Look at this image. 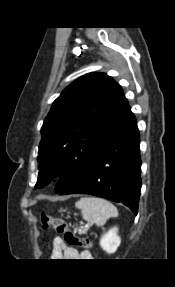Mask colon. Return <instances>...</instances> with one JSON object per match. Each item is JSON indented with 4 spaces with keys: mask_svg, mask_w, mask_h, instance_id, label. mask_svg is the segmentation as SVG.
I'll list each match as a JSON object with an SVG mask.
<instances>
[{
    "mask_svg": "<svg viewBox=\"0 0 175 287\" xmlns=\"http://www.w3.org/2000/svg\"><path fill=\"white\" fill-rule=\"evenodd\" d=\"M40 221L44 230H55V232L62 237V240L66 245L85 249L92 246L89 239L77 236L70 228L69 224L62 218H56L47 213H41Z\"/></svg>",
    "mask_w": 175,
    "mask_h": 287,
    "instance_id": "obj_1",
    "label": "colon"
}]
</instances>
